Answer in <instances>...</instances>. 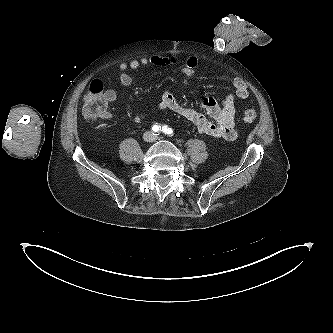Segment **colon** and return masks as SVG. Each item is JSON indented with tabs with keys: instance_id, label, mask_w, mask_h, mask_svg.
Returning a JSON list of instances; mask_svg holds the SVG:
<instances>
[{
	"instance_id": "colon-1",
	"label": "colon",
	"mask_w": 333,
	"mask_h": 333,
	"mask_svg": "<svg viewBox=\"0 0 333 333\" xmlns=\"http://www.w3.org/2000/svg\"><path fill=\"white\" fill-rule=\"evenodd\" d=\"M107 113V102L104 98V85L99 79L94 80L83 102V116L87 121H93L104 117ZM257 119V112L254 108H245L241 120L251 124Z\"/></svg>"
}]
</instances>
